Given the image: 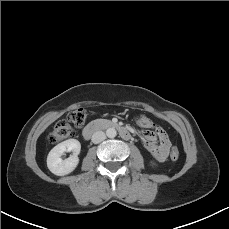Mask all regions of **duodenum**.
<instances>
[{
	"instance_id": "1",
	"label": "duodenum",
	"mask_w": 229,
	"mask_h": 229,
	"mask_svg": "<svg viewBox=\"0 0 229 229\" xmlns=\"http://www.w3.org/2000/svg\"><path fill=\"white\" fill-rule=\"evenodd\" d=\"M102 127L117 129L120 133V135L126 139L129 140L131 138L130 133L126 130L125 127L119 125L115 122H108V123H91L87 125L83 130V137L85 139H89L93 134L98 132Z\"/></svg>"
}]
</instances>
